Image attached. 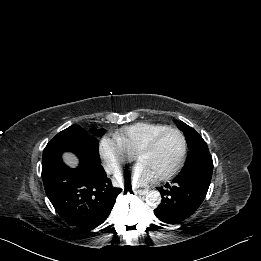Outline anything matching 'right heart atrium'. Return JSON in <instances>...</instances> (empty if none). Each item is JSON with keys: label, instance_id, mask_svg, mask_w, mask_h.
Returning <instances> with one entry per match:
<instances>
[{"label": "right heart atrium", "instance_id": "right-heart-atrium-1", "mask_svg": "<svg viewBox=\"0 0 261 261\" xmlns=\"http://www.w3.org/2000/svg\"><path fill=\"white\" fill-rule=\"evenodd\" d=\"M99 152L110 174L118 173L125 163L133 159V155L115 137L104 136L99 143Z\"/></svg>", "mask_w": 261, "mask_h": 261}]
</instances>
